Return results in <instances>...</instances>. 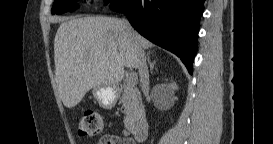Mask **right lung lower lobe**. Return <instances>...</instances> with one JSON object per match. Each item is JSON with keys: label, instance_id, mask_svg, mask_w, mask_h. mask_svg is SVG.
I'll return each instance as SVG.
<instances>
[{"label": "right lung lower lobe", "instance_id": "98d812e1", "mask_svg": "<svg viewBox=\"0 0 273 144\" xmlns=\"http://www.w3.org/2000/svg\"><path fill=\"white\" fill-rule=\"evenodd\" d=\"M145 38L173 52L192 74L204 0H112Z\"/></svg>", "mask_w": 273, "mask_h": 144}]
</instances>
